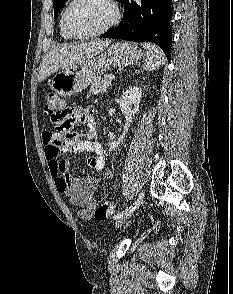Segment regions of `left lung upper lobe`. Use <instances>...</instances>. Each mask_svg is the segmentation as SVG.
<instances>
[{
  "label": "left lung upper lobe",
  "mask_w": 233,
  "mask_h": 294,
  "mask_svg": "<svg viewBox=\"0 0 233 294\" xmlns=\"http://www.w3.org/2000/svg\"><path fill=\"white\" fill-rule=\"evenodd\" d=\"M67 0H53V8H54V15L57 14V12L63 7ZM118 2H121L122 0H117Z\"/></svg>",
  "instance_id": "left-lung-upper-lobe-1"
}]
</instances>
